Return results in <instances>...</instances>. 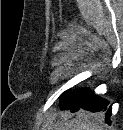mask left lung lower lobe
<instances>
[{
  "instance_id": "obj_1",
  "label": "left lung lower lobe",
  "mask_w": 123,
  "mask_h": 130,
  "mask_svg": "<svg viewBox=\"0 0 123 130\" xmlns=\"http://www.w3.org/2000/svg\"><path fill=\"white\" fill-rule=\"evenodd\" d=\"M109 102L103 98L100 97H94V95L90 92V89H86L85 92L82 94L80 103L73 107V108H65L61 107L63 110H70L71 112H76L80 108L91 111V112H99L103 111L105 112V118H106V123L111 124V111L112 107L109 106Z\"/></svg>"
}]
</instances>
